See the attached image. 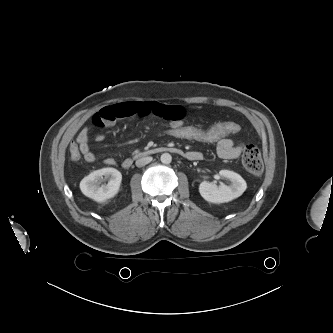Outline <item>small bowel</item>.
I'll list each match as a JSON object with an SVG mask.
<instances>
[{
	"label": "small bowel",
	"mask_w": 333,
	"mask_h": 333,
	"mask_svg": "<svg viewBox=\"0 0 333 333\" xmlns=\"http://www.w3.org/2000/svg\"><path fill=\"white\" fill-rule=\"evenodd\" d=\"M186 111L183 107L177 105L163 104L160 102L132 101L106 106L96 112L92 117V122L96 126H111L116 121L129 117L156 116L167 123H184ZM104 140L103 135L96 136L97 142ZM79 150L84 159L89 162H95L98 157L89 146V129L83 127L76 138ZM244 149V144L236 142L231 138H224L217 142L216 150L220 158L231 160L238 158ZM187 158L199 160L202 155L199 152H188ZM104 163L109 166L116 164L114 158L104 159Z\"/></svg>",
	"instance_id": "c3829d8e"
}]
</instances>
